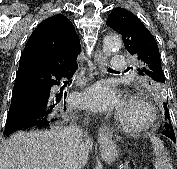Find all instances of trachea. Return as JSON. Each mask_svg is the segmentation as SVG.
Instances as JSON below:
<instances>
[{"label": "trachea", "instance_id": "3493384b", "mask_svg": "<svg viewBox=\"0 0 177 169\" xmlns=\"http://www.w3.org/2000/svg\"><path fill=\"white\" fill-rule=\"evenodd\" d=\"M108 71H112V69H111V68H108Z\"/></svg>", "mask_w": 177, "mask_h": 169}]
</instances>
